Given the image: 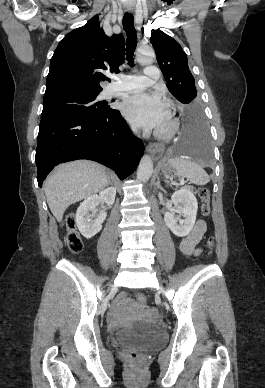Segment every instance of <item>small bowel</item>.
<instances>
[{
  "label": "small bowel",
  "mask_w": 265,
  "mask_h": 388,
  "mask_svg": "<svg viewBox=\"0 0 265 388\" xmlns=\"http://www.w3.org/2000/svg\"><path fill=\"white\" fill-rule=\"evenodd\" d=\"M206 224L203 220H197L191 232L181 241L180 251L187 256L198 255L200 249L197 248L204 232Z\"/></svg>",
  "instance_id": "small-bowel-1"
}]
</instances>
